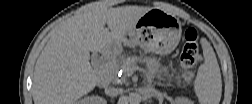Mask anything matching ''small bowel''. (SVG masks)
Listing matches in <instances>:
<instances>
[{"label": "small bowel", "instance_id": "c3829d8e", "mask_svg": "<svg viewBox=\"0 0 252 104\" xmlns=\"http://www.w3.org/2000/svg\"><path fill=\"white\" fill-rule=\"evenodd\" d=\"M152 68L154 69V68H155V66H154V65H152Z\"/></svg>", "mask_w": 252, "mask_h": 104}]
</instances>
